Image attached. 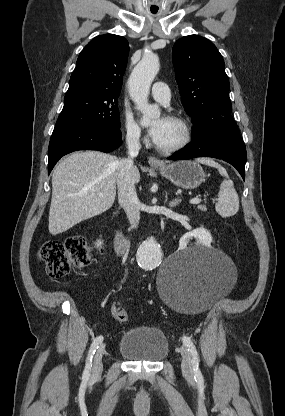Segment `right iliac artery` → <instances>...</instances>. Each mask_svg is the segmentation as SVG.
Segmentation results:
<instances>
[{
    "label": "right iliac artery",
    "mask_w": 285,
    "mask_h": 416,
    "mask_svg": "<svg viewBox=\"0 0 285 416\" xmlns=\"http://www.w3.org/2000/svg\"><path fill=\"white\" fill-rule=\"evenodd\" d=\"M102 342H103V336L100 335V336L96 337L94 339V341L92 342V344H91V347H90V350H89V353H88V357H87V360H86V366H85V369H84V372H83V378H85V379L89 378L90 369L92 367L93 355L95 354L96 349H98V347L101 345Z\"/></svg>",
    "instance_id": "82829eb1"
}]
</instances>
